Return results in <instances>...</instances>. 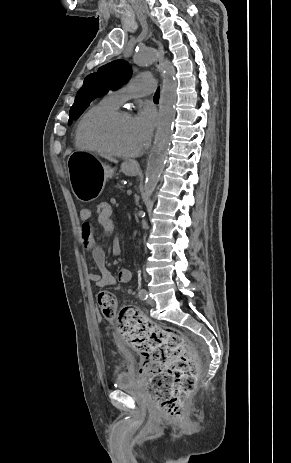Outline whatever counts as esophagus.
Masks as SVG:
<instances>
[{"instance_id": "obj_1", "label": "esophagus", "mask_w": 291, "mask_h": 463, "mask_svg": "<svg viewBox=\"0 0 291 463\" xmlns=\"http://www.w3.org/2000/svg\"><path fill=\"white\" fill-rule=\"evenodd\" d=\"M159 57L156 60V67L160 70L162 65H163V60H164V51H163V46L159 43ZM133 165L138 166L137 162H132Z\"/></svg>"}]
</instances>
